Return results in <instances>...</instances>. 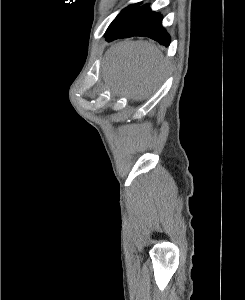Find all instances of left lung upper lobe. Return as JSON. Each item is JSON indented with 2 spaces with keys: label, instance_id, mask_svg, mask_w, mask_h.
Returning a JSON list of instances; mask_svg holds the SVG:
<instances>
[{
  "label": "left lung upper lobe",
  "instance_id": "obj_1",
  "mask_svg": "<svg viewBox=\"0 0 245 300\" xmlns=\"http://www.w3.org/2000/svg\"><path fill=\"white\" fill-rule=\"evenodd\" d=\"M138 5H140V3L137 4H132L130 6H128L127 8L123 9L120 14L113 20V22L110 24V26L108 27L107 31L113 27L119 20H121L126 14H128L131 10H133L135 7H137Z\"/></svg>",
  "mask_w": 245,
  "mask_h": 300
}]
</instances>
